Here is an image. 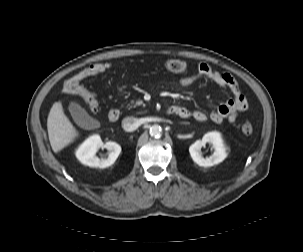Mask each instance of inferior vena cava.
<instances>
[{
	"label": "inferior vena cava",
	"instance_id": "inferior-vena-cava-1",
	"mask_svg": "<svg viewBox=\"0 0 303 252\" xmlns=\"http://www.w3.org/2000/svg\"><path fill=\"white\" fill-rule=\"evenodd\" d=\"M138 120L134 117H125L122 120V127L125 131L131 132L138 128Z\"/></svg>",
	"mask_w": 303,
	"mask_h": 252
}]
</instances>
